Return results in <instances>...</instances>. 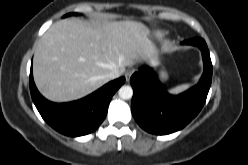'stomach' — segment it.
<instances>
[{
	"label": "stomach",
	"instance_id": "stomach-1",
	"mask_svg": "<svg viewBox=\"0 0 248 165\" xmlns=\"http://www.w3.org/2000/svg\"><path fill=\"white\" fill-rule=\"evenodd\" d=\"M160 78H161L162 81H166V80L168 79V74H167V72L164 71V70H161V71H160Z\"/></svg>",
	"mask_w": 248,
	"mask_h": 165
}]
</instances>
